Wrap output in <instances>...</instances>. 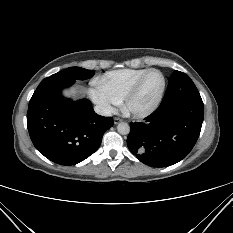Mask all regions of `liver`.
Masks as SVG:
<instances>
[{"label": "liver", "instance_id": "obj_1", "mask_svg": "<svg viewBox=\"0 0 233 233\" xmlns=\"http://www.w3.org/2000/svg\"><path fill=\"white\" fill-rule=\"evenodd\" d=\"M77 90L75 88H65L62 90V95L65 97L76 96Z\"/></svg>", "mask_w": 233, "mask_h": 233}]
</instances>
